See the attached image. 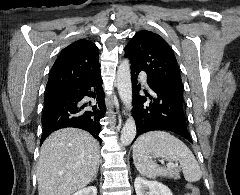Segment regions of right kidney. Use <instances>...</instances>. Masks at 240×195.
Listing matches in <instances>:
<instances>
[{
    "label": "right kidney",
    "instance_id": "1",
    "mask_svg": "<svg viewBox=\"0 0 240 195\" xmlns=\"http://www.w3.org/2000/svg\"><path fill=\"white\" fill-rule=\"evenodd\" d=\"M73 195H97V187H94V185H89V187H83V189L75 191Z\"/></svg>",
    "mask_w": 240,
    "mask_h": 195
}]
</instances>
